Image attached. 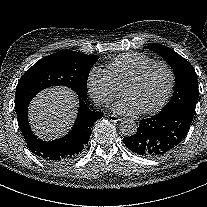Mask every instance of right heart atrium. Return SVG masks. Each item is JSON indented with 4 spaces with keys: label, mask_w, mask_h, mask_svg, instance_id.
<instances>
[{
    "label": "right heart atrium",
    "mask_w": 207,
    "mask_h": 207,
    "mask_svg": "<svg viewBox=\"0 0 207 207\" xmlns=\"http://www.w3.org/2000/svg\"><path fill=\"white\" fill-rule=\"evenodd\" d=\"M86 86L91 98L100 106L107 107L119 95L107 73L99 68L90 70Z\"/></svg>",
    "instance_id": "right-heart-atrium-1"
}]
</instances>
